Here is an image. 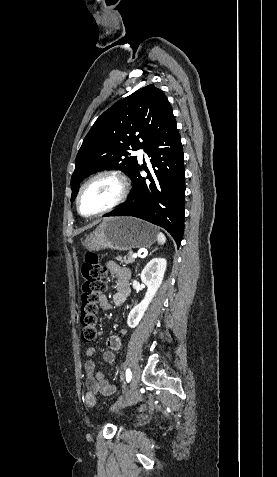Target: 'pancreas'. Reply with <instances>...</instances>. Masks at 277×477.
<instances>
[{"label": "pancreas", "mask_w": 277, "mask_h": 477, "mask_svg": "<svg viewBox=\"0 0 277 477\" xmlns=\"http://www.w3.org/2000/svg\"><path fill=\"white\" fill-rule=\"evenodd\" d=\"M133 254L131 252L128 253L127 256H118L116 257V259L118 261H120L121 263H125V264H129V263H133L135 261V258L132 256Z\"/></svg>", "instance_id": "obj_1"}]
</instances>
